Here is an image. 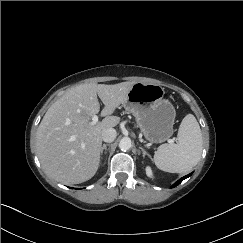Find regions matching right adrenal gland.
Returning <instances> with one entry per match:
<instances>
[{"label":"right adrenal gland","instance_id":"obj_1","mask_svg":"<svg viewBox=\"0 0 243 243\" xmlns=\"http://www.w3.org/2000/svg\"><path fill=\"white\" fill-rule=\"evenodd\" d=\"M109 144H103V146L101 147V150H100V154L101 155H103V151L105 150H107V146H108Z\"/></svg>","mask_w":243,"mask_h":243}]
</instances>
